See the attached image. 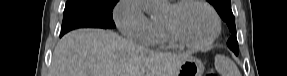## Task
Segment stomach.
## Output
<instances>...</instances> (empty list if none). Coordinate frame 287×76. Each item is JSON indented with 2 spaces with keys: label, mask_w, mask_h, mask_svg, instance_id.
<instances>
[{
  "label": "stomach",
  "mask_w": 287,
  "mask_h": 76,
  "mask_svg": "<svg viewBox=\"0 0 287 76\" xmlns=\"http://www.w3.org/2000/svg\"><path fill=\"white\" fill-rule=\"evenodd\" d=\"M204 72V66L202 62L189 56L181 64L179 71L176 76H202Z\"/></svg>",
  "instance_id": "1"
}]
</instances>
